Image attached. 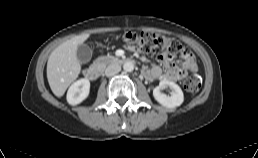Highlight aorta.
<instances>
[{"instance_id": "1", "label": "aorta", "mask_w": 258, "mask_h": 158, "mask_svg": "<svg viewBox=\"0 0 258 158\" xmlns=\"http://www.w3.org/2000/svg\"><path fill=\"white\" fill-rule=\"evenodd\" d=\"M123 69H124V71H126V72H131V71H133V69H134V64H133L132 62H126V63H124V65H123Z\"/></svg>"}]
</instances>
